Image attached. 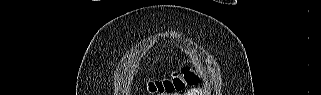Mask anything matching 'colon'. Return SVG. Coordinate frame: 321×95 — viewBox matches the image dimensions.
Listing matches in <instances>:
<instances>
[{"label":"colon","mask_w":321,"mask_h":95,"mask_svg":"<svg viewBox=\"0 0 321 95\" xmlns=\"http://www.w3.org/2000/svg\"><path fill=\"white\" fill-rule=\"evenodd\" d=\"M196 75L191 72H184L176 74L171 77L156 80L150 83V90L152 92H173L183 89L186 86L194 84Z\"/></svg>","instance_id":"obj_1"}]
</instances>
